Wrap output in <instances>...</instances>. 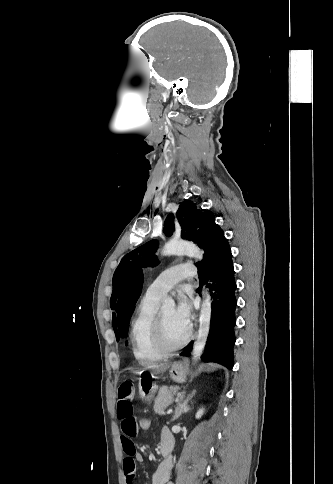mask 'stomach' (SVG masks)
I'll return each instance as SVG.
<instances>
[{"label":"stomach","instance_id":"stomach-1","mask_svg":"<svg viewBox=\"0 0 333 484\" xmlns=\"http://www.w3.org/2000/svg\"><path fill=\"white\" fill-rule=\"evenodd\" d=\"M208 369H214V366ZM170 378L175 382H183L185 380L186 364L183 362H175L167 369ZM158 390V386L152 382L151 379L142 378L139 380V395L145 401H150Z\"/></svg>","mask_w":333,"mask_h":484}]
</instances>
